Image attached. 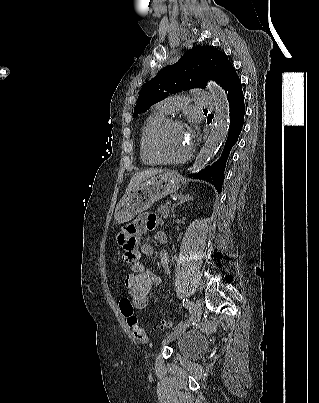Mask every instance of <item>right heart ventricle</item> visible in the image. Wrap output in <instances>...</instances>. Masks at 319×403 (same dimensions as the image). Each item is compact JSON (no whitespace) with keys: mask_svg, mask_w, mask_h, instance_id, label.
Wrapping results in <instances>:
<instances>
[{"mask_svg":"<svg viewBox=\"0 0 319 403\" xmlns=\"http://www.w3.org/2000/svg\"><path fill=\"white\" fill-rule=\"evenodd\" d=\"M165 119V112L155 109L144 120L139 137L140 157L146 165H157L159 162L151 153L150 138L155 128Z\"/></svg>","mask_w":319,"mask_h":403,"instance_id":"obj_1","label":"right heart ventricle"}]
</instances>
